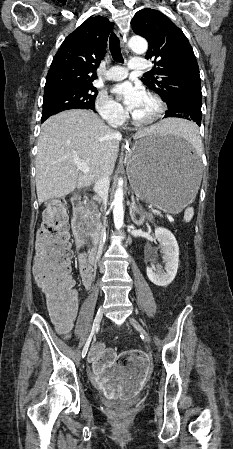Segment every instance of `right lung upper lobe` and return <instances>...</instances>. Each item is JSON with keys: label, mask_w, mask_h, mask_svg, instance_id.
Segmentation results:
<instances>
[{"label": "right lung upper lobe", "mask_w": 233, "mask_h": 449, "mask_svg": "<svg viewBox=\"0 0 233 449\" xmlns=\"http://www.w3.org/2000/svg\"><path fill=\"white\" fill-rule=\"evenodd\" d=\"M113 28L107 18L87 19L62 43L46 77L44 93L66 87L92 85L96 68L104 58L107 39Z\"/></svg>", "instance_id": "1"}]
</instances>
